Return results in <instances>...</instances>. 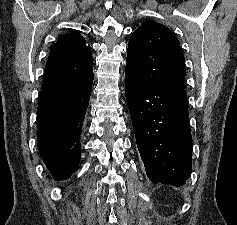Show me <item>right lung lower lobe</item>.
I'll return each instance as SVG.
<instances>
[{"mask_svg": "<svg viewBox=\"0 0 237 225\" xmlns=\"http://www.w3.org/2000/svg\"><path fill=\"white\" fill-rule=\"evenodd\" d=\"M93 80L73 90L44 91L37 109V146L44 163L56 180L77 171L80 133Z\"/></svg>", "mask_w": 237, "mask_h": 225, "instance_id": "obj_1", "label": "right lung lower lobe"}]
</instances>
